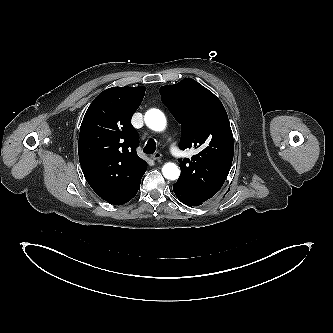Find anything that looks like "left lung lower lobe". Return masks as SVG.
<instances>
[{
    "mask_svg": "<svg viewBox=\"0 0 333 333\" xmlns=\"http://www.w3.org/2000/svg\"><path fill=\"white\" fill-rule=\"evenodd\" d=\"M174 193L178 197V199L188 206H198L201 205L204 201L199 199L197 196L185 191L184 189L176 186H173Z\"/></svg>",
    "mask_w": 333,
    "mask_h": 333,
    "instance_id": "obj_1",
    "label": "left lung lower lobe"
}]
</instances>
